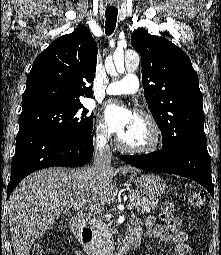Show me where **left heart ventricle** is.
I'll list each match as a JSON object with an SVG mask.
<instances>
[{
    "instance_id": "1",
    "label": "left heart ventricle",
    "mask_w": 221,
    "mask_h": 255,
    "mask_svg": "<svg viewBox=\"0 0 221 255\" xmlns=\"http://www.w3.org/2000/svg\"><path fill=\"white\" fill-rule=\"evenodd\" d=\"M122 142L131 146H143L151 141L149 125L140 117L133 115L130 125L119 135Z\"/></svg>"
}]
</instances>
